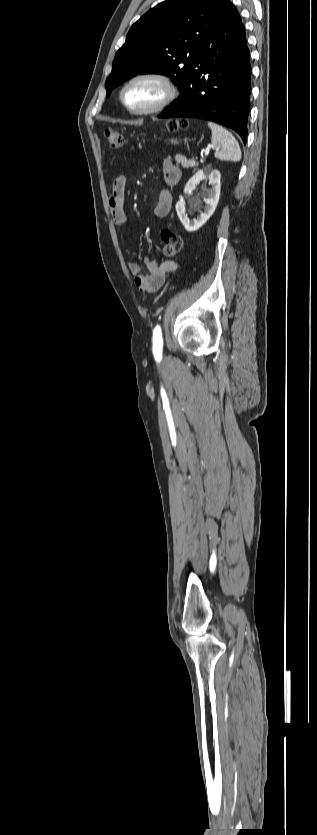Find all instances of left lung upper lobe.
<instances>
[{"instance_id": "1", "label": "left lung upper lobe", "mask_w": 317, "mask_h": 835, "mask_svg": "<svg viewBox=\"0 0 317 835\" xmlns=\"http://www.w3.org/2000/svg\"><path fill=\"white\" fill-rule=\"evenodd\" d=\"M230 4L229 0H167L149 10L132 25L117 51L106 95L123 81L146 73L171 77L182 92L200 49Z\"/></svg>"}]
</instances>
